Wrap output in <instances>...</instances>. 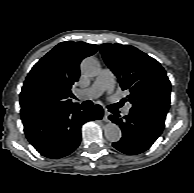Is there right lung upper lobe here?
Here are the masks:
<instances>
[{"mask_svg":"<svg viewBox=\"0 0 194 193\" xmlns=\"http://www.w3.org/2000/svg\"><path fill=\"white\" fill-rule=\"evenodd\" d=\"M97 45L66 41L55 46L29 72L20 93L21 119L73 106L71 87L80 76L79 64Z\"/></svg>","mask_w":194,"mask_h":193,"instance_id":"1","label":"right lung upper lobe"}]
</instances>
